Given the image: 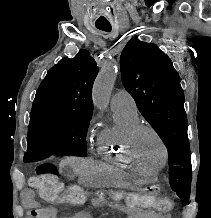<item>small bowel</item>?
Returning <instances> with one entry per match:
<instances>
[{"label":"small bowel","mask_w":211,"mask_h":218,"mask_svg":"<svg viewBox=\"0 0 211 218\" xmlns=\"http://www.w3.org/2000/svg\"><path fill=\"white\" fill-rule=\"evenodd\" d=\"M22 199L24 204L27 207L30 208H39L41 212L45 213V214H54L55 210L53 208L50 207H40L36 201V194L35 191L32 188H25L22 192ZM89 205L91 207L97 208V207H101V206H109L112 208H116L119 210H123V211H127L130 213H143L145 217H150L153 218L154 214L150 211H142L138 208H134V207H130V206H124L121 205L119 203L116 202H109V201H105L102 199H95L89 202Z\"/></svg>","instance_id":"1"}]
</instances>
